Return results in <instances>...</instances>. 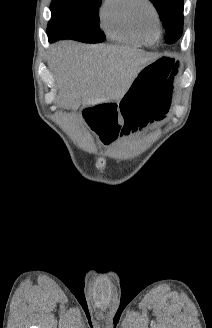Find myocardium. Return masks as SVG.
I'll return each instance as SVG.
<instances>
[{"label": "myocardium", "mask_w": 212, "mask_h": 328, "mask_svg": "<svg viewBox=\"0 0 212 328\" xmlns=\"http://www.w3.org/2000/svg\"><path fill=\"white\" fill-rule=\"evenodd\" d=\"M142 6H146L152 11L153 16H154V21H155V30H156V32L158 33V36H159L160 31H161L160 15H159V12H158L157 8L155 7V5L150 0H134V3H133L132 8H131V16H132V20H133L136 28L141 33H147V31L145 30V28L142 24V21L139 17V9Z\"/></svg>", "instance_id": "myocardium-1"}]
</instances>
